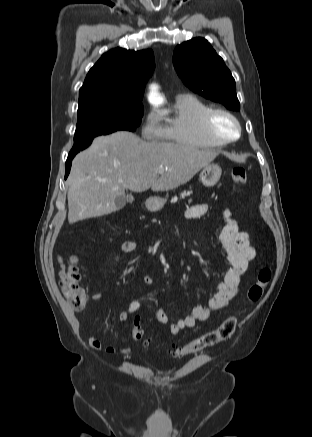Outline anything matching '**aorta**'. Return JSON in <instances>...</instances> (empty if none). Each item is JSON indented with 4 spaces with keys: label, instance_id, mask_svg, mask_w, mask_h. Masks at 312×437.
<instances>
[{
    "label": "aorta",
    "instance_id": "obj_1",
    "mask_svg": "<svg viewBox=\"0 0 312 437\" xmlns=\"http://www.w3.org/2000/svg\"><path fill=\"white\" fill-rule=\"evenodd\" d=\"M150 101H151L153 104H155V105H158V104H160V103L162 102L161 99H159V98H157V97L155 96V93H152V95H151V97H150Z\"/></svg>",
    "mask_w": 312,
    "mask_h": 437
}]
</instances>
